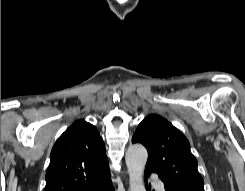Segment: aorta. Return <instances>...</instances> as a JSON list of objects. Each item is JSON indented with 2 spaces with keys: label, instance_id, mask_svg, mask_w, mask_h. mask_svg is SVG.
Returning a JSON list of instances; mask_svg holds the SVG:
<instances>
[{
  "label": "aorta",
  "instance_id": "aorta-1",
  "mask_svg": "<svg viewBox=\"0 0 245 191\" xmlns=\"http://www.w3.org/2000/svg\"><path fill=\"white\" fill-rule=\"evenodd\" d=\"M147 158V150L140 144L131 145L127 149L125 161L129 174V191H146L143 173Z\"/></svg>",
  "mask_w": 245,
  "mask_h": 191
}]
</instances>
